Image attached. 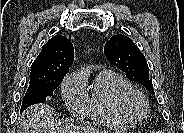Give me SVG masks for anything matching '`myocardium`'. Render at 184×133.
Masks as SVG:
<instances>
[{"mask_svg":"<svg viewBox=\"0 0 184 133\" xmlns=\"http://www.w3.org/2000/svg\"><path fill=\"white\" fill-rule=\"evenodd\" d=\"M134 100H138L142 106L140 111H136L132 107ZM118 106L123 115L132 121H140L149 113V103L147 98L140 91L132 88L123 91L118 98Z\"/></svg>","mask_w":184,"mask_h":133,"instance_id":"1","label":"myocardium"}]
</instances>
